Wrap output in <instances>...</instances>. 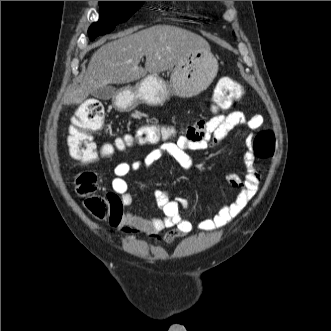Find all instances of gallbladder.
<instances>
[{
  "label": "gallbladder",
  "mask_w": 331,
  "mask_h": 331,
  "mask_svg": "<svg viewBox=\"0 0 331 331\" xmlns=\"http://www.w3.org/2000/svg\"><path fill=\"white\" fill-rule=\"evenodd\" d=\"M115 94H116V88L111 85H106L93 91L92 96L100 100H109Z\"/></svg>",
  "instance_id": "obj_1"
}]
</instances>
